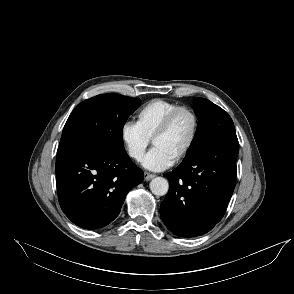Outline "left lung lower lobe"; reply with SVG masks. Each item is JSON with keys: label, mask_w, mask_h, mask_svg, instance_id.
Masks as SVG:
<instances>
[{"label": "left lung lower lobe", "mask_w": 294, "mask_h": 294, "mask_svg": "<svg viewBox=\"0 0 294 294\" xmlns=\"http://www.w3.org/2000/svg\"><path fill=\"white\" fill-rule=\"evenodd\" d=\"M236 134H226L201 145L166 173L170 189L160 215L175 235L196 237L210 231L223 217L236 183Z\"/></svg>", "instance_id": "left-lung-lower-lobe-1"}]
</instances>
